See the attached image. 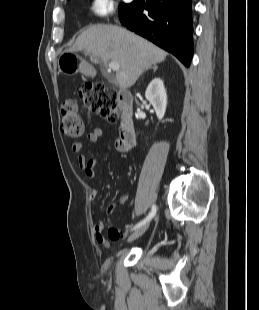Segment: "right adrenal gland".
Segmentation results:
<instances>
[{"label": "right adrenal gland", "instance_id": "1", "mask_svg": "<svg viewBox=\"0 0 259 310\" xmlns=\"http://www.w3.org/2000/svg\"><path fill=\"white\" fill-rule=\"evenodd\" d=\"M149 69H153V72L155 73L156 70L158 69V66L155 64L153 67H148V68H146V69L142 72V74H143L144 72H146L147 70H149Z\"/></svg>", "mask_w": 259, "mask_h": 310}]
</instances>
